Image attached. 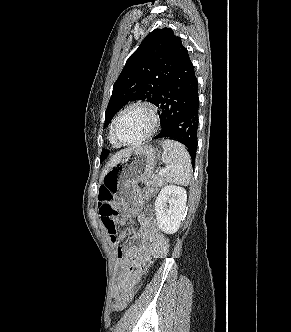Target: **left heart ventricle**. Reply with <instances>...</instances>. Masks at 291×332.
Returning <instances> with one entry per match:
<instances>
[{
	"instance_id": "b2bd125f",
	"label": "left heart ventricle",
	"mask_w": 291,
	"mask_h": 332,
	"mask_svg": "<svg viewBox=\"0 0 291 332\" xmlns=\"http://www.w3.org/2000/svg\"><path fill=\"white\" fill-rule=\"evenodd\" d=\"M150 126L151 119L147 111L142 108H133L120 118L117 134L123 141H133L145 135Z\"/></svg>"
}]
</instances>
